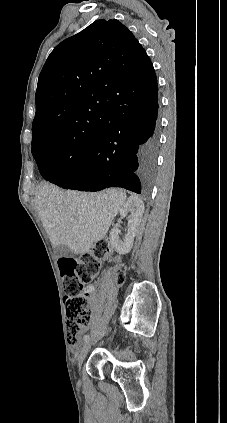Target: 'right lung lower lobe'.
I'll return each mask as SVG.
<instances>
[{
	"instance_id": "98d812e1",
	"label": "right lung lower lobe",
	"mask_w": 227,
	"mask_h": 423,
	"mask_svg": "<svg viewBox=\"0 0 227 423\" xmlns=\"http://www.w3.org/2000/svg\"><path fill=\"white\" fill-rule=\"evenodd\" d=\"M157 113L158 88L151 96L112 105L108 114L115 124L100 132L88 156L55 176L49 167L42 166L41 175L65 189L100 191L122 187L138 194L147 191L154 178L159 148Z\"/></svg>"
}]
</instances>
